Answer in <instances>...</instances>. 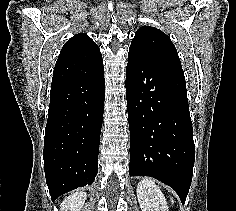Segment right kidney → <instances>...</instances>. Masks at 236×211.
<instances>
[{
	"label": "right kidney",
	"mask_w": 236,
	"mask_h": 211,
	"mask_svg": "<svg viewBox=\"0 0 236 211\" xmlns=\"http://www.w3.org/2000/svg\"><path fill=\"white\" fill-rule=\"evenodd\" d=\"M86 200L85 192H76L65 198L61 203V211H80Z\"/></svg>",
	"instance_id": "1"
}]
</instances>
